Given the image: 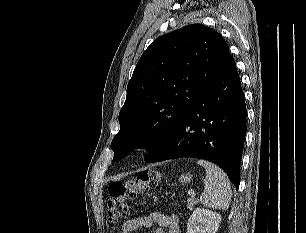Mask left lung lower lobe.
Listing matches in <instances>:
<instances>
[{
	"instance_id": "0a47b994",
	"label": "left lung lower lobe",
	"mask_w": 306,
	"mask_h": 233,
	"mask_svg": "<svg viewBox=\"0 0 306 233\" xmlns=\"http://www.w3.org/2000/svg\"><path fill=\"white\" fill-rule=\"evenodd\" d=\"M246 135V105L231 54L162 150L149 162L181 157L211 161L238 188Z\"/></svg>"
}]
</instances>
